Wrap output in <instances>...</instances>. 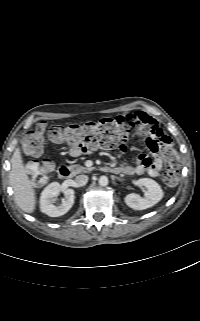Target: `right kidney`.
<instances>
[{"label": "right kidney", "instance_id": "obj_1", "mask_svg": "<svg viewBox=\"0 0 200 321\" xmlns=\"http://www.w3.org/2000/svg\"><path fill=\"white\" fill-rule=\"evenodd\" d=\"M63 192L64 198L61 203L54 205L55 197ZM74 190L65 189L58 182L49 184L41 193L40 209L50 217H59L66 214L74 204Z\"/></svg>", "mask_w": 200, "mask_h": 321}]
</instances>
